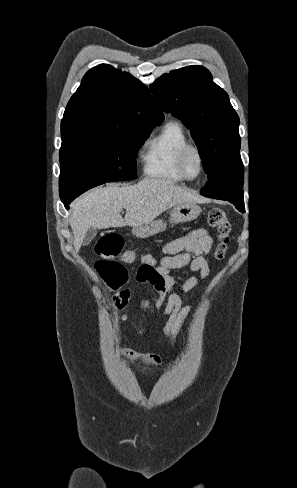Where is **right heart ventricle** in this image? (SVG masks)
Returning a JSON list of instances; mask_svg holds the SVG:
<instances>
[{"label":"right heart ventricle","mask_w":297,"mask_h":488,"mask_svg":"<svg viewBox=\"0 0 297 488\" xmlns=\"http://www.w3.org/2000/svg\"><path fill=\"white\" fill-rule=\"evenodd\" d=\"M188 144L189 138L180 123H165L144 145L141 154L144 174L162 181H184L177 168V157L180 150Z\"/></svg>","instance_id":"1"}]
</instances>
